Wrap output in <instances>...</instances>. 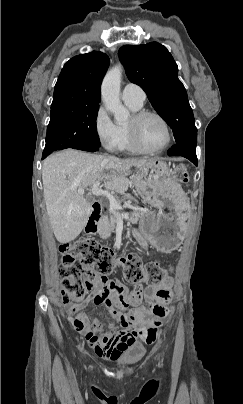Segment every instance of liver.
Wrapping results in <instances>:
<instances>
[{
  "label": "liver",
  "mask_w": 243,
  "mask_h": 404,
  "mask_svg": "<svg viewBox=\"0 0 243 404\" xmlns=\"http://www.w3.org/2000/svg\"><path fill=\"white\" fill-rule=\"evenodd\" d=\"M155 158L120 160L115 156H95L76 150H63L48 156L43 162L42 182L47 214L60 244L73 242L85 228L91 214V204L78 194L82 188L93 186L103 178L107 190L124 194L129 188L126 176L130 168H141ZM110 170L109 176L105 174Z\"/></svg>",
  "instance_id": "1"
}]
</instances>
